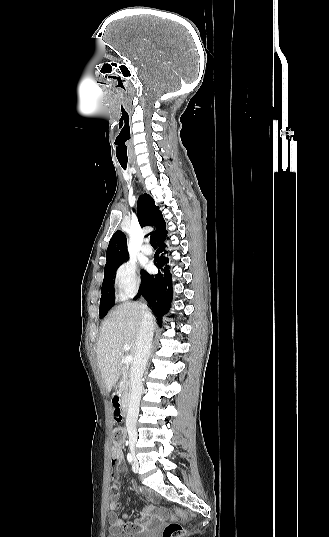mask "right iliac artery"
Listing matches in <instances>:
<instances>
[{
  "instance_id": "right-iliac-artery-1",
  "label": "right iliac artery",
  "mask_w": 329,
  "mask_h": 537,
  "mask_svg": "<svg viewBox=\"0 0 329 537\" xmlns=\"http://www.w3.org/2000/svg\"><path fill=\"white\" fill-rule=\"evenodd\" d=\"M127 459H128V462L131 463L133 458H132V455L130 453L127 454Z\"/></svg>"
}]
</instances>
